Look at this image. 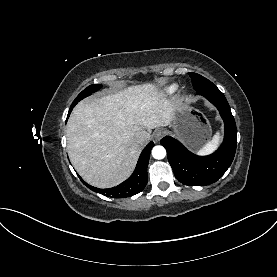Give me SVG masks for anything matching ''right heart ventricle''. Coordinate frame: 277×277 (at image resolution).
<instances>
[{"label": "right heart ventricle", "mask_w": 277, "mask_h": 277, "mask_svg": "<svg viewBox=\"0 0 277 277\" xmlns=\"http://www.w3.org/2000/svg\"><path fill=\"white\" fill-rule=\"evenodd\" d=\"M173 90H174V87H171V88H170V91H173Z\"/></svg>", "instance_id": "obj_1"}]
</instances>
